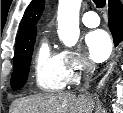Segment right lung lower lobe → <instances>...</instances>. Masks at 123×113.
<instances>
[{
    "instance_id": "98d812e1",
    "label": "right lung lower lobe",
    "mask_w": 123,
    "mask_h": 113,
    "mask_svg": "<svg viewBox=\"0 0 123 113\" xmlns=\"http://www.w3.org/2000/svg\"><path fill=\"white\" fill-rule=\"evenodd\" d=\"M109 28L114 44L123 41V6L119 0H109Z\"/></svg>"
}]
</instances>
